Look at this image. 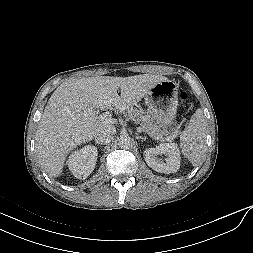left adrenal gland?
<instances>
[{"mask_svg":"<svg viewBox=\"0 0 253 253\" xmlns=\"http://www.w3.org/2000/svg\"><path fill=\"white\" fill-rule=\"evenodd\" d=\"M136 139H141V140H146L147 139V137H142V136H139L138 134H137V136H136Z\"/></svg>","mask_w":253,"mask_h":253,"instance_id":"1","label":"left adrenal gland"}]
</instances>
